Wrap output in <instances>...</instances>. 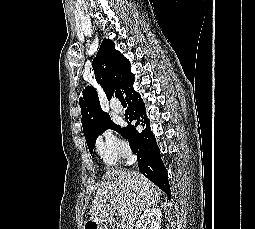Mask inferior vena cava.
<instances>
[{
	"label": "inferior vena cava",
	"instance_id": "inferior-vena-cava-1",
	"mask_svg": "<svg viewBox=\"0 0 255 229\" xmlns=\"http://www.w3.org/2000/svg\"><path fill=\"white\" fill-rule=\"evenodd\" d=\"M126 159H127V162H128V163H133L134 158H133V155H132V153H131L130 151H128V152L126 153Z\"/></svg>",
	"mask_w": 255,
	"mask_h": 229
}]
</instances>
